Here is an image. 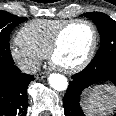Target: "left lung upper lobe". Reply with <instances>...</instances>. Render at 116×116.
Returning <instances> with one entry per match:
<instances>
[{
  "label": "left lung upper lobe",
  "mask_w": 116,
  "mask_h": 116,
  "mask_svg": "<svg viewBox=\"0 0 116 116\" xmlns=\"http://www.w3.org/2000/svg\"><path fill=\"white\" fill-rule=\"evenodd\" d=\"M97 26L101 36V45L95 59L116 57V21L101 12L84 13Z\"/></svg>",
  "instance_id": "1"
}]
</instances>
